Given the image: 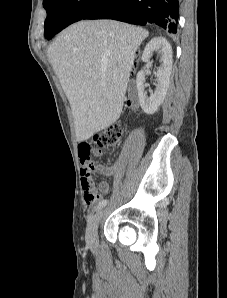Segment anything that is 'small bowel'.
I'll return each instance as SVG.
<instances>
[{
	"mask_svg": "<svg viewBox=\"0 0 227 298\" xmlns=\"http://www.w3.org/2000/svg\"><path fill=\"white\" fill-rule=\"evenodd\" d=\"M78 147V157L80 158L82 164L81 184L83 190L85 191V187H88L89 189L97 192L91 179V173L96 172L105 176H113L117 171V165L106 166L92 162L91 158H93V154L96 156H101L103 154L100 146H89V142H78ZM109 189V184L107 182H102L98 187V192L102 195H106L109 192Z\"/></svg>",
	"mask_w": 227,
	"mask_h": 298,
	"instance_id": "1",
	"label": "small bowel"
}]
</instances>
